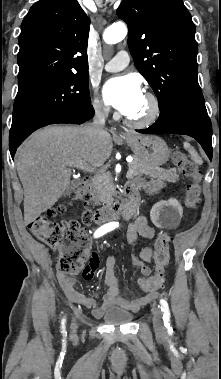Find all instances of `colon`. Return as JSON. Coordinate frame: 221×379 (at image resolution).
<instances>
[{
	"instance_id": "obj_1",
	"label": "colon",
	"mask_w": 221,
	"mask_h": 379,
	"mask_svg": "<svg viewBox=\"0 0 221 379\" xmlns=\"http://www.w3.org/2000/svg\"><path fill=\"white\" fill-rule=\"evenodd\" d=\"M173 161L179 171L191 180L187 185L185 203L189 209H195L201 200V171L195 162L181 153H175ZM71 198L82 205L81 222L51 220L50 216L65 210L64 205H59L49 210L47 216L42 215L31 221L29 229L36 238L60 251V272L80 274L83 265L88 264L90 241L84 226L89 225L93 219L91 194L88 190L77 187L72 191ZM170 242L171 237L168 233H161L157 237L154 245L155 273L150 277L137 279V284L143 291L154 292L162 286L165 269L170 261Z\"/></svg>"
}]
</instances>
